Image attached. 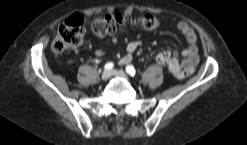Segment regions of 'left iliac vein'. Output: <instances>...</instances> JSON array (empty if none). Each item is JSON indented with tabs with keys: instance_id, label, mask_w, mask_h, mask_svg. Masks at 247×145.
I'll use <instances>...</instances> for the list:
<instances>
[{
	"instance_id": "left-iliac-vein-1",
	"label": "left iliac vein",
	"mask_w": 247,
	"mask_h": 145,
	"mask_svg": "<svg viewBox=\"0 0 247 145\" xmlns=\"http://www.w3.org/2000/svg\"><path fill=\"white\" fill-rule=\"evenodd\" d=\"M111 74L113 76H118V77H122V78L128 79V76L122 70H112Z\"/></svg>"
}]
</instances>
